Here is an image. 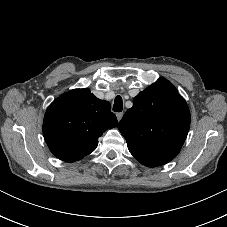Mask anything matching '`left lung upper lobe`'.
Listing matches in <instances>:
<instances>
[{"label":"left lung upper lobe","mask_w":227,"mask_h":227,"mask_svg":"<svg viewBox=\"0 0 227 227\" xmlns=\"http://www.w3.org/2000/svg\"><path fill=\"white\" fill-rule=\"evenodd\" d=\"M189 127L187 103L165 78H159L140 92L118 124L130 153L148 167H157L175 158Z\"/></svg>","instance_id":"obj_1"}]
</instances>
